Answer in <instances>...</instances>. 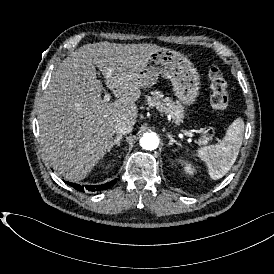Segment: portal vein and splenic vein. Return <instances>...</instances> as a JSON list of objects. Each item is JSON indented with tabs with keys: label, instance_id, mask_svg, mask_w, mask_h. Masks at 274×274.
Segmentation results:
<instances>
[{
	"label": "portal vein and splenic vein",
	"instance_id": "1",
	"mask_svg": "<svg viewBox=\"0 0 274 274\" xmlns=\"http://www.w3.org/2000/svg\"><path fill=\"white\" fill-rule=\"evenodd\" d=\"M111 99V95L110 94H105L104 98H103V101L104 102H109ZM185 135L189 136V137H192L193 134L191 132H188V131H184Z\"/></svg>",
	"mask_w": 274,
	"mask_h": 274
}]
</instances>
